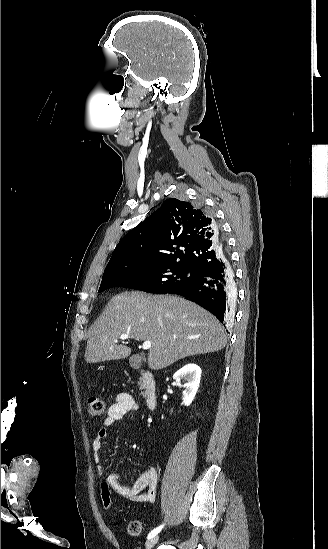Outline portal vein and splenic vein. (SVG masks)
Listing matches in <instances>:
<instances>
[{
	"label": "portal vein and splenic vein",
	"instance_id": "obj_1",
	"mask_svg": "<svg viewBox=\"0 0 328 549\" xmlns=\"http://www.w3.org/2000/svg\"><path fill=\"white\" fill-rule=\"evenodd\" d=\"M119 339H122V341H124V339H129V335H120ZM173 339H177V337H173ZM151 347V341H145V343H143L142 345V349H144V351H147V349H150Z\"/></svg>",
	"mask_w": 328,
	"mask_h": 549
}]
</instances>
